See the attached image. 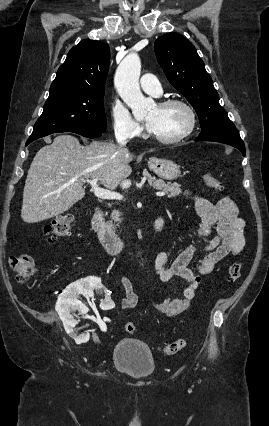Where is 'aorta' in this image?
Masks as SVG:
<instances>
[{
    "mask_svg": "<svg viewBox=\"0 0 269 426\" xmlns=\"http://www.w3.org/2000/svg\"><path fill=\"white\" fill-rule=\"evenodd\" d=\"M140 72L138 55L129 54L120 63L114 80L118 93L137 119L144 117L153 105V101L145 98L140 90Z\"/></svg>",
    "mask_w": 269,
    "mask_h": 426,
    "instance_id": "obj_1",
    "label": "aorta"
}]
</instances>
